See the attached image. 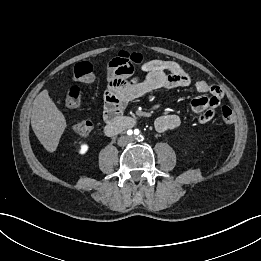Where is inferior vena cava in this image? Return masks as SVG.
<instances>
[{"label":"inferior vena cava","instance_id":"obj_1","mask_svg":"<svg viewBox=\"0 0 261 261\" xmlns=\"http://www.w3.org/2000/svg\"><path fill=\"white\" fill-rule=\"evenodd\" d=\"M131 141H132L131 138H128V137L123 138V137H121V138H119V140H118V144H119L120 146H122V145H125V144H127V143H130Z\"/></svg>","mask_w":261,"mask_h":261}]
</instances>
